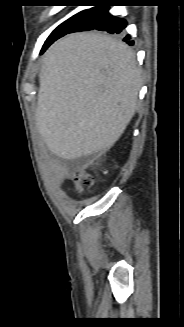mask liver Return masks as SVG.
<instances>
[{"label":"liver","mask_w":184,"mask_h":327,"mask_svg":"<svg viewBox=\"0 0 184 327\" xmlns=\"http://www.w3.org/2000/svg\"><path fill=\"white\" fill-rule=\"evenodd\" d=\"M36 127L66 160L103 153L132 119L141 87L135 54L106 34L67 35L45 53Z\"/></svg>","instance_id":"6515ba94"}]
</instances>
